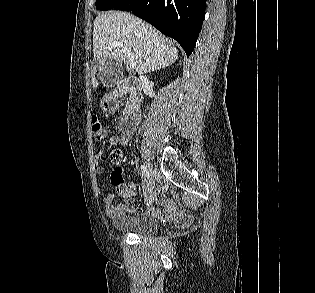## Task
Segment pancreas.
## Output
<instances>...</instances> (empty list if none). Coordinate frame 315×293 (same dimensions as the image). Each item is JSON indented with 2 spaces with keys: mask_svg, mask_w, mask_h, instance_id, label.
Instances as JSON below:
<instances>
[{
  "mask_svg": "<svg viewBox=\"0 0 315 293\" xmlns=\"http://www.w3.org/2000/svg\"><path fill=\"white\" fill-rule=\"evenodd\" d=\"M128 92H129V101H127V103L125 105V109H124L125 111L127 109H129L130 107L137 105V103L140 102L138 94H137L135 88L130 87Z\"/></svg>",
  "mask_w": 315,
  "mask_h": 293,
  "instance_id": "1",
  "label": "pancreas"
}]
</instances>
